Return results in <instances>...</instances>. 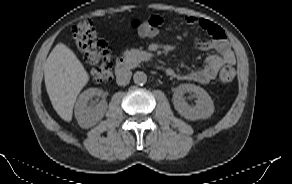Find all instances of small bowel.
Returning <instances> with one entry per match:
<instances>
[{
  "mask_svg": "<svg viewBox=\"0 0 292 184\" xmlns=\"http://www.w3.org/2000/svg\"><path fill=\"white\" fill-rule=\"evenodd\" d=\"M153 16L156 17L161 24L163 23V18L160 15ZM184 21L188 25L201 28L211 36V38L206 41L197 39L195 41V46L204 51L215 50L216 53L208 56L205 66L200 69L192 70L184 74L177 73L172 69H168L167 72L181 80L208 84L216 78L218 71L223 65H231L235 63L236 58L234 52L232 51L223 30L215 23L195 16H185Z\"/></svg>",
  "mask_w": 292,
  "mask_h": 184,
  "instance_id": "small-bowel-1",
  "label": "small bowel"
}]
</instances>
